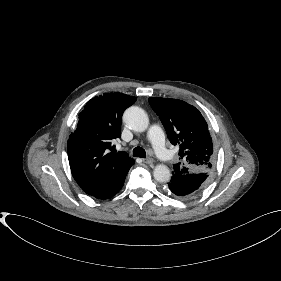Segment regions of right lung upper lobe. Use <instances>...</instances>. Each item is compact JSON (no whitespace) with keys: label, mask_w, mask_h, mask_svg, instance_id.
<instances>
[{"label":"right lung upper lobe","mask_w":281,"mask_h":281,"mask_svg":"<svg viewBox=\"0 0 281 281\" xmlns=\"http://www.w3.org/2000/svg\"><path fill=\"white\" fill-rule=\"evenodd\" d=\"M122 93H105L87 102L67 151L72 175L89 195L101 198L126 177L134 160L126 152L114 154L111 141L121 136L122 114L136 101Z\"/></svg>","instance_id":"obj_1"}]
</instances>
